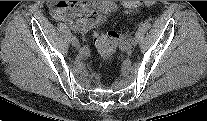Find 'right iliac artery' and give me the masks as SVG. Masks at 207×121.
Segmentation results:
<instances>
[{
	"instance_id": "82829eb1",
	"label": "right iliac artery",
	"mask_w": 207,
	"mask_h": 121,
	"mask_svg": "<svg viewBox=\"0 0 207 121\" xmlns=\"http://www.w3.org/2000/svg\"><path fill=\"white\" fill-rule=\"evenodd\" d=\"M73 30H76L74 27L72 28ZM82 51L87 50V48L84 46L81 48Z\"/></svg>"
}]
</instances>
